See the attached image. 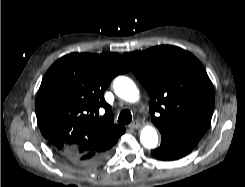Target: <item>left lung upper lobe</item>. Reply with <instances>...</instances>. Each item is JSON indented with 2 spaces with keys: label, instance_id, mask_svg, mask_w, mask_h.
Here are the masks:
<instances>
[{
  "label": "left lung upper lobe",
  "instance_id": "1",
  "mask_svg": "<svg viewBox=\"0 0 245 187\" xmlns=\"http://www.w3.org/2000/svg\"><path fill=\"white\" fill-rule=\"evenodd\" d=\"M123 57L149 94L151 121L159 130L207 131L215 96L211 80L195 56L179 47L162 45L124 53Z\"/></svg>",
  "mask_w": 245,
  "mask_h": 187
}]
</instances>
